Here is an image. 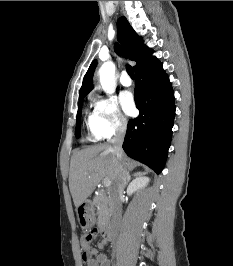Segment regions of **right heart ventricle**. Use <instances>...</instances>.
I'll list each match as a JSON object with an SVG mask.
<instances>
[{"instance_id": "1", "label": "right heart ventricle", "mask_w": 233, "mask_h": 266, "mask_svg": "<svg viewBox=\"0 0 233 266\" xmlns=\"http://www.w3.org/2000/svg\"><path fill=\"white\" fill-rule=\"evenodd\" d=\"M93 120H94V113H89L88 116H87V125H88V127H89V129L91 131L92 139L93 140H98L100 138L98 136H96L91 130V126H92Z\"/></svg>"}]
</instances>
